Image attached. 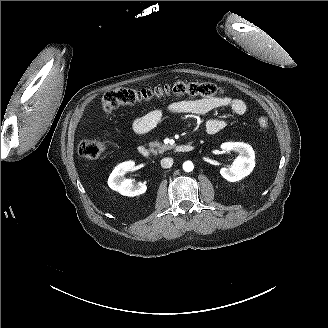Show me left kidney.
<instances>
[{"label": "left kidney", "mask_w": 328, "mask_h": 328, "mask_svg": "<svg viewBox=\"0 0 328 328\" xmlns=\"http://www.w3.org/2000/svg\"><path fill=\"white\" fill-rule=\"evenodd\" d=\"M225 152H237L239 155L228 168H221L220 174L229 182H235L248 176L255 167V153L253 148L243 142H225L221 144Z\"/></svg>", "instance_id": "1"}]
</instances>
